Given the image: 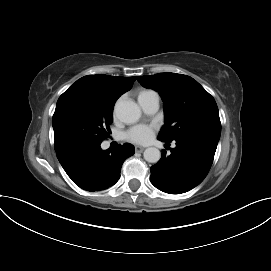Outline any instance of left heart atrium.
Returning <instances> with one entry per match:
<instances>
[{
  "label": "left heart atrium",
  "mask_w": 271,
  "mask_h": 271,
  "mask_svg": "<svg viewBox=\"0 0 271 271\" xmlns=\"http://www.w3.org/2000/svg\"><path fill=\"white\" fill-rule=\"evenodd\" d=\"M154 136V130L152 127L147 125H136L130 128L126 133V138L138 144L149 143Z\"/></svg>",
  "instance_id": "left-heart-atrium-1"
}]
</instances>
